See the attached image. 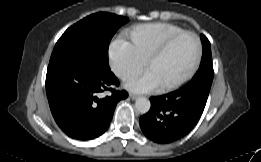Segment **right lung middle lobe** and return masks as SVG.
Wrapping results in <instances>:
<instances>
[{"label":"right lung middle lobe","mask_w":261,"mask_h":162,"mask_svg":"<svg viewBox=\"0 0 261 162\" xmlns=\"http://www.w3.org/2000/svg\"><path fill=\"white\" fill-rule=\"evenodd\" d=\"M128 21L127 17L112 13H95L68 28L57 41L50 63L75 56H90L108 63V47L111 38Z\"/></svg>","instance_id":"right-lung-middle-lobe-1"}]
</instances>
